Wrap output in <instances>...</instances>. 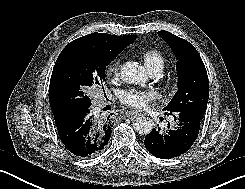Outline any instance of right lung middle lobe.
I'll return each mask as SVG.
<instances>
[{"label": "right lung middle lobe", "instance_id": "dd1d6c3e", "mask_svg": "<svg viewBox=\"0 0 245 189\" xmlns=\"http://www.w3.org/2000/svg\"><path fill=\"white\" fill-rule=\"evenodd\" d=\"M114 59L89 48H73L60 54L50 80V95L60 109L91 105L89 88L105 79L106 66Z\"/></svg>", "mask_w": 245, "mask_h": 189}]
</instances>
